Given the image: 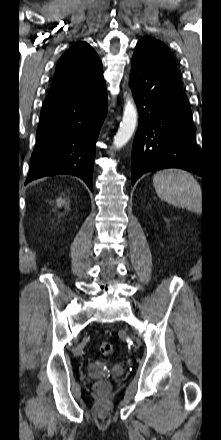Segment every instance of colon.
Instances as JSON below:
<instances>
[{"label": "colon", "mask_w": 221, "mask_h": 440, "mask_svg": "<svg viewBox=\"0 0 221 440\" xmlns=\"http://www.w3.org/2000/svg\"><path fill=\"white\" fill-rule=\"evenodd\" d=\"M98 350L102 355H109L113 351V345L110 342H102ZM95 388L98 392L105 393L110 388V385L107 381H100L95 385Z\"/></svg>", "instance_id": "colon-1"}]
</instances>
